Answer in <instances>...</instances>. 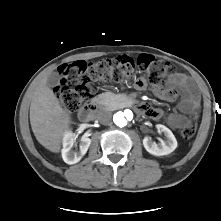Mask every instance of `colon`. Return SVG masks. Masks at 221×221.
Masks as SVG:
<instances>
[{
	"label": "colon",
	"mask_w": 221,
	"mask_h": 221,
	"mask_svg": "<svg viewBox=\"0 0 221 221\" xmlns=\"http://www.w3.org/2000/svg\"><path fill=\"white\" fill-rule=\"evenodd\" d=\"M136 68L146 75L147 82L155 87L166 83L176 74V68L168 61L151 55H141L138 59L117 57L88 63L83 60L64 64L60 68V83L56 96L63 106L71 112L84 109L92 96L91 85L107 79L119 80L130 75ZM197 128V114L190 115L181 135L191 139Z\"/></svg>",
	"instance_id": "obj_1"
}]
</instances>
